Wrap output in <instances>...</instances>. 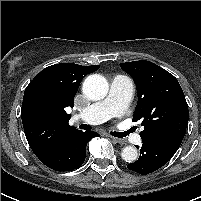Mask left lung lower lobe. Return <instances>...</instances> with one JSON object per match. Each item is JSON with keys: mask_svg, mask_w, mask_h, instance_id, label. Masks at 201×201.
I'll return each instance as SVG.
<instances>
[{"mask_svg": "<svg viewBox=\"0 0 201 201\" xmlns=\"http://www.w3.org/2000/svg\"><path fill=\"white\" fill-rule=\"evenodd\" d=\"M182 140L183 137L174 135L142 139L139 159L128 164L127 168L143 175L156 171L172 158ZM136 147L139 149V146Z\"/></svg>", "mask_w": 201, "mask_h": 201, "instance_id": "0a47b994", "label": "left lung lower lobe"}]
</instances>
